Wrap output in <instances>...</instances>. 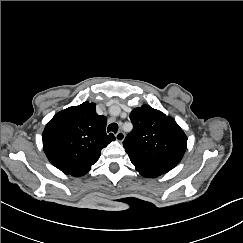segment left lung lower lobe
<instances>
[{"label":"left lung lower lobe","instance_id":"left-lung-lower-lobe-1","mask_svg":"<svg viewBox=\"0 0 243 243\" xmlns=\"http://www.w3.org/2000/svg\"><path fill=\"white\" fill-rule=\"evenodd\" d=\"M130 160L133 163V165L136 167L137 171L145 177H150V178L157 177L167 173L172 169L167 166L149 164L131 158Z\"/></svg>","mask_w":243,"mask_h":243}]
</instances>
